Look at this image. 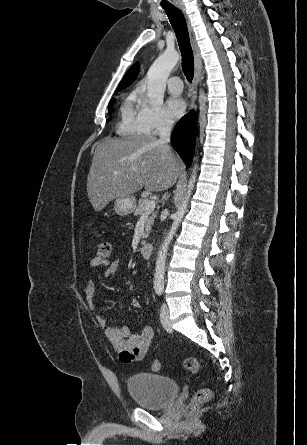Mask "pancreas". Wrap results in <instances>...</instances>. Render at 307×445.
I'll return each mask as SVG.
<instances>
[{
	"instance_id": "1",
	"label": "pancreas",
	"mask_w": 307,
	"mask_h": 445,
	"mask_svg": "<svg viewBox=\"0 0 307 445\" xmlns=\"http://www.w3.org/2000/svg\"><path fill=\"white\" fill-rule=\"evenodd\" d=\"M148 200H150V198H139L138 206H137L136 210H134L135 216H141V214H144L145 204H147ZM155 216H156V212H154V210H151V212H149V216L147 218V223L145 225L146 233H144L142 239H146V237L151 229V225H153V223H154Z\"/></svg>"
}]
</instances>
